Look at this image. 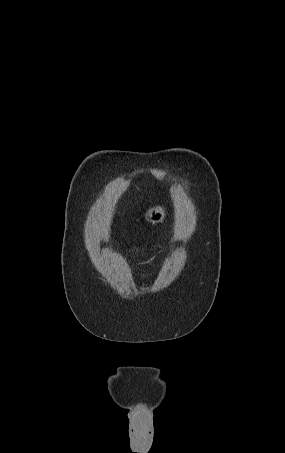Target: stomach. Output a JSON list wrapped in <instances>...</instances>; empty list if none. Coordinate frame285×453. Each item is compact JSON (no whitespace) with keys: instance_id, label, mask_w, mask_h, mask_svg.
<instances>
[{"instance_id":"0dacf381","label":"stomach","mask_w":285,"mask_h":453,"mask_svg":"<svg viewBox=\"0 0 285 453\" xmlns=\"http://www.w3.org/2000/svg\"><path fill=\"white\" fill-rule=\"evenodd\" d=\"M144 217L149 223H162L166 217V209L163 206L154 205L146 211Z\"/></svg>"}]
</instances>
